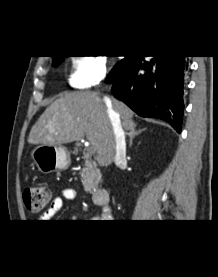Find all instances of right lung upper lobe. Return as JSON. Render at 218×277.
Instances as JSON below:
<instances>
[{
    "label": "right lung upper lobe",
    "mask_w": 218,
    "mask_h": 277,
    "mask_svg": "<svg viewBox=\"0 0 218 277\" xmlns=\"http://www.w3.org/2000/svg\"><path fill=\"white\" fill-rule=\"evenodd\" d=\"M58 57H60V56H53V60H54V59H57Z\"/></svg>",
    "instance_id": "obj_1"
}]
</instances>
